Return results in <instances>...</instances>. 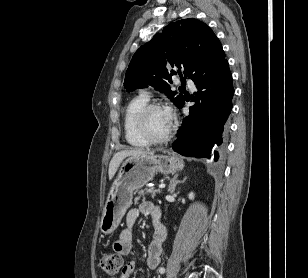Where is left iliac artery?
<instances>
[{
    "mask_svg": "<svg viewBox=\"0 0 308 278\" xmlns=\"http://www.w3.org/2000/svg\"><path fill=\"white\" fill-rule=\"evenodd\" d=\"M159 272H160L161 274L165 273V268H164V267H161V268L159 269Z\"/></svg>",
    "mask_w": 308,
    "mask_h": 278,
    "instance_id": "left-iliac-artery-1",
    "label": "left iliac artery"
}]
</instances>
